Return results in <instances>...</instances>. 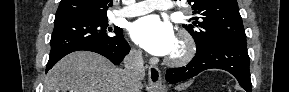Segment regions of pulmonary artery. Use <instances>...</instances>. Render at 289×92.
Here are the masks:
<instances>
[{
	"label": "pulmonary artery",
	"mask_w": 289,
	"mask_h": 92,
	"mask_svg": "<svg viewBox=\"0 0 289 92\" xmlns=\"http://www.w3.org/2000/svg\"><path fill=\"white\" fill-rule=\"evenodd\" d=\"M173 8V3L168 0H145L137 2L116 13L117 17H136L147 14L153 10H169Z\"/></svg>",
	"instance_id": "1"
}]
</instances>
